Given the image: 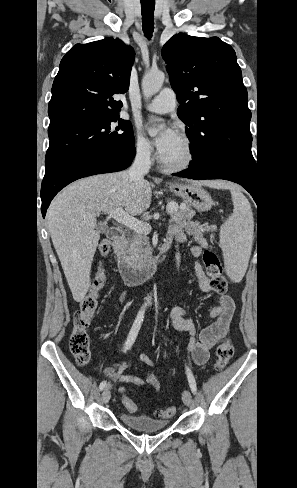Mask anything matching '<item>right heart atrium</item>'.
Segmentation results:
<instances>
[{"mask_svg": "<svg viewBox=\"0 0 297 488\" xmlns=\"http://www.w3.org/2000/svg\"><path fill=\"white\" fill-rule=\"evenodd\" d=\"M135 153L141 158H150L153 152L152 145L141 131H137L134 137Z\"/></svg>", "mask_w": 297, "mask_h": 488, "instance_id": "right-heart-atrium-1", "label": "right heart atrium"}]
</instances>
